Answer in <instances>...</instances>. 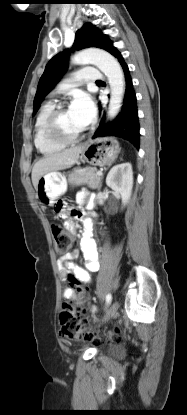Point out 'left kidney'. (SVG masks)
<instances>
[{"instance_id": "obj_1", "label": "left kidney", "mask_w": 187, "mask_h": 415, "mask_svg": "<svg viewBox=\"0 0 187 415\" xmlns=\"http://www.w3.org/2000/svg\"><path fill=\"white\" fill-rule=\"evenodd\" d=\"M106 184L120 195L122 205L126 206L130 200L133 187L132 165L127 162L112 167L106 177Z\"/></svg>"}]
</instances>
